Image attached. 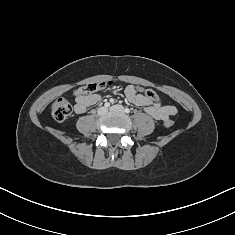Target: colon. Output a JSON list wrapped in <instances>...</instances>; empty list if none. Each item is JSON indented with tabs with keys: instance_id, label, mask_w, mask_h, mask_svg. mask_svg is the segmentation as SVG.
<instances>
[{
	"instance_id": "obj_1",
	"label": "colon",
	"mask_w": 235,
	"mask_h": 235,
	"mask_svg": "<svg viewBox=\"0 0 235 235\" xmlns=\"http://www.w3.org/2000/svg\"><path fill=\"white\" fill-rule=\"evenodd\" d=\"M111 82H96L87 84L76 91L77 95H86L89 93H94L100 90H104L107 88ZM140 93H142L147 99L153 102L159 101L158 94L152 89H138ZM71 114V105L70 103L64 99L59 98L57 99L52 105V116L57 121H64L68 118ZM173 125L172 120L166 121V127H171Z\"/></svg>"
}]
</instances>
